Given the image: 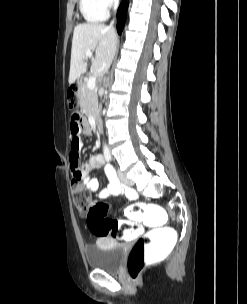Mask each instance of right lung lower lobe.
I'll return each mask as SVG.
<instances>
[{"mask_svg": "<svg viewBox=\"0 0 247 304\" xmlns=\"http://www.w3.org/2000/svg\"><path fill=\"white\" fill-rule=\"evenodd\" d=\"M127 8L128 4L126 0H123V2L120 4L117 12V30L120 34L122 32V29L124 27V23L126 20V14H127Z\"/></svg>", "mask_w": 247, "mask_h": 304, "instance_id": "98d812e1", "label": "right lung lower lobe"}]
</instances>
